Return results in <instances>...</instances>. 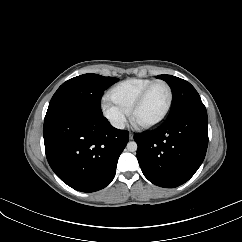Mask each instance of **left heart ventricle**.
Returning a JSON list of instances; mask_svg holds the SVG:
<instances>
[{
    "label": "left heart ventricle",
    "instance_id": "left-heart-ventricle-1",
    "mask_svg": "<svg viewBox=\"0 0 242 242\" xmlns=\"http://www.w3.org/2000/svg\"><path fill=\"white\" fill-rule=\"evenodd\" d=\"M168 102V90L165 85L157 84L148 93L138 109L135 120L138 123H150L158 119Z\"/></svg>",
    "mask_w": 242,
    "mask_h": 242
}]
</instances>
